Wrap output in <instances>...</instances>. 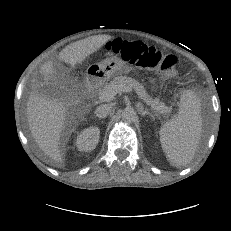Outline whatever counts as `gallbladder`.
<instances>
[{"mask_svg": "<svg viewBox=\"0 0 231 231\" xmlns=\"http://www.w3.org/2000/svg\"><path fill=\"white\" fill-rule=\"evenodd\" d=\"M55 68L63 77L64 86L68 87L72 85L71 77L69 75V71L60 63H55ZM64 87L60 86L55 82H49L44 84L41 89V93L44 94L49 99L59 100L63 96H66V91L63 89Z\"/></svg>", "mask_w": 231, "mask_h": 231, "instance_id": "bac80fb5", "label": "gallbladder"}]
</instances>
